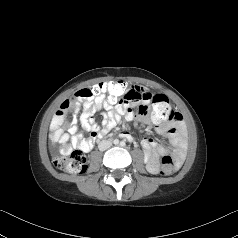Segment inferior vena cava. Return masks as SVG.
Masks as SVG:
<instances>
[{
	"mask_svg": "<svg viewBox=\"0 0 238 238\" xmlns=\"http://www.w3.org/2000/svg\"><path fill=\"white\" fill-rule=\"evenodd\" d=\"M111 145H112V142H111V141H109V140H102V141L99 143L98 148H99L100 151H104V150L110 148Z\"/></svg>",
	"mask_w": 238,
	"mask_h": 238,
	"instance_id": "inferior-vena-cava-1",
	"label": "inferior vena cava"
}]
</instances>
